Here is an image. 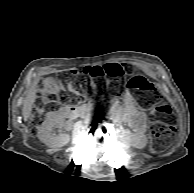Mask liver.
<instances>
[{"label": "liver", "mask_w": 194, "mask_h": 193, "mask_svg": "<svg viewBox=\"0 0 194 193\" xmlns=\"http://www.w3.org/2000/svg\"><path fill=\"white\" fill-rule=\"evenodd\" d=\"M35 99H36V90L33 88L29 92V94H28V96L23 104L22 115H23L24 121H27L29 119L31 112H32V108H33V104L35 102Z\"/></svg>", "instance_id": "liver-1"}]
</instances>
